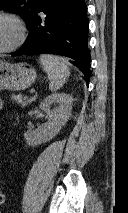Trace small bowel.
Here are the masks:
<instances>
[{
    "label": "small bowel",
    "mask_w": 128,
    "mask_h": 213,
    "mask_svg": "<svg viewBox=\"0 0 128 213\" xmlns=\"http://www.w3.org/2000/svg\"><path fill=\"white\" fill-rule=\"evenodd\" d=\"M3 107V100L0 98V110L2 109Z\"/></svg>",
    "instance_id": "obj_1"
}]
</instances>
